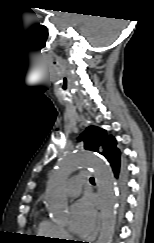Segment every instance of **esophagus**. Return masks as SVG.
<instances>
[{
  "label": "esophagus",
  "instance_id": "obj_1",
  "mask_svg": "<svg viewBox=\"0 0 154 243\" xmlns=\"http://www.w3.org/2000/svg\"><path fill=\"white\" fill-rule=\"evenodd\" d=\"M101 223H102V214H101V208L98 207V220H97V227L94 231V233L88 238L87 243H93V241L96 239L100 228H101Z\"/></svg>",
  "mask_w": 154,
  "mask_h": 243
}]
</instances>
